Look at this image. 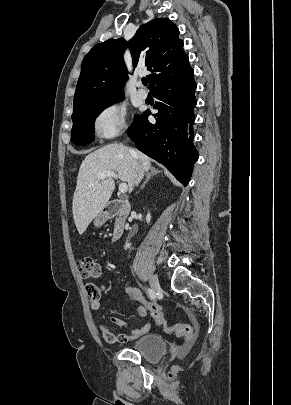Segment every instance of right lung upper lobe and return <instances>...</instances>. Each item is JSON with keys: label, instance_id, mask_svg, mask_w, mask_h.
Instances as JSON below:
<instances>
[{"label": "right lung upper lobe", "instance_id": "right-lung-upper-lobe-1", "mask_svg": "<svg viewBox=\"0 0 291 405\" xmlns=\"http://www.w3.org/2000/svg\"><path fill=\"white\" fill-rule=\"evenodd\" d=\"M179 30L167 18L143 24L127 43L123 38L95 45L84 57L74 95V111L123 97L127 69L123 52L129 47L133 66L145 67L151 91L158 84L179 78L193 69L179 39Z\"/></svg>", "mask_w": 291, "mask_h": 405}]
</instances>
